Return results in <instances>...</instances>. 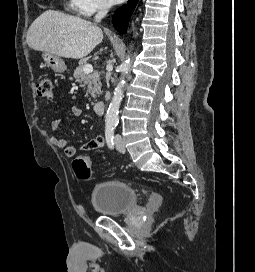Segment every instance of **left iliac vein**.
Wrapping results in <instances>:
<instances>
[{
    "instance_id": "4c4485c4",
    "label": "left iliac vein",
    "mask_w": 255,
    "mask_h": 272,
    "mask_svg": "<svg viewBox=\"0 0 255 272\" xmlns=\"http://www.w3.org/2000/svg\"><path fill=\"white\" fill-rule=\"evenodd\" d=\"M115 146L119 152H125V145L123 143L122 137L118 134L115 136Z\"/></svg>"
}]
</instances>
